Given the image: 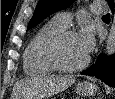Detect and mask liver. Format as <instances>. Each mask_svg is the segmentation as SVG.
I'll use <instances>...</instances> for the list:
<instances>
[{
    "label": "liver",
    "instance_id": "6515ba94",
    "mask_svg": "<svg viewBox=\"0 0 115 99\" xmlns=\"http://www.w3.org/2000/svg\"><path fill=\"white\" fill-rule=\"evenodd\" d=\"M75 82L74 76H44L20 81L15 86L16 99H39L64 91Z\"/></svg>",
    "mask_w": 115,
    "mask_h": 99
}]
</instances>
